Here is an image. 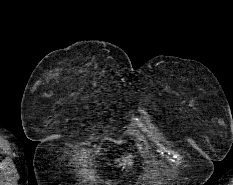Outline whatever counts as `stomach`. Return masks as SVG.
<instances>
[{
  "mask_svg": "<svg viewBox=\"0 0 233 185\" xmlns=\"http://www.w3.org/2000/svg\"><path fill=\"white\" fill-rule=\"evenodd\" d=\"M133 158L132 154H127L122 157V162H119L118 167H122V169H131L133 167Z\"/></svg>",
  "mask_w": 233,
  "mask_h": 185,
  "instance_id": "stomach-1",
  "label": "stomach"
}]
</instances>
